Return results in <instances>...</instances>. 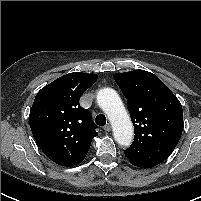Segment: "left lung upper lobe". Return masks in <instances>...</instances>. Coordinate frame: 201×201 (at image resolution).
<instances>
[{"label": "left lung upper lobe", "instance_id": "obj_1", "mask_svg": "<svg viewBox=\"0 0 201 201\" xmlns=\"http://www.w3.org/2000/svg\"><path fill=\"white\" fill-rule=\"evenodd\" d=\"M113 77L127 99L134 126V142L125 156L138 167L160 164L175 149L183 131L179 100L150 72L134 70Z\"/></svg>", "mask_w": 201, "mask_h": 201}]
</instances>
